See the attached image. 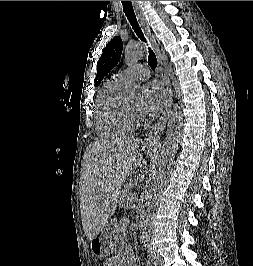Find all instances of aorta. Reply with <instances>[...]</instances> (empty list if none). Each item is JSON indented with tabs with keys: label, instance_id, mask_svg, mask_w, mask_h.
Wrapping results in <instances>:
<instances>
[{
	"label": "aorta",
	"instance_id": "762f6f07",
	"mask_svg": "<svg viewBox=\"0 0 253 266\" xmlns=\"http://www.w3.org/2000/svg\"><path fill=\"white\" fill-rule=\"evenodd\" d=\"M144 55V47L140 43L128 44L124 50V59L127 64H133ZM125 92L128 96L136 97L140 93V87L136 83H127ZM183 114L178 105H174L170 112L167 133L162 149L157 157L153 172L151 187L148 191L147 202L143 206L140 220L141 238L144 244L153 242L152 220L160 194L168 180L173 160L177 152L178 143L182 136Z\"/></svg>",
	"mask_w": 253,
	"mask_h": 266
}]
</instances>
